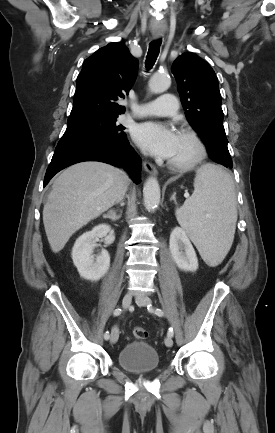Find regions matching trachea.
Masks as SVG:
<instances>
[{"label": "trachea", "mask_w": 275, "mask_h": 433, "mask_svg": "<svg viewBox=\"0 0 275 433\" xmlns=\"http://www.w3.org/2000/svg\"><path fill=\"white\" fill-rule=\"evenodd\" d=\"M161 40L152 41L149 44V50L146 56V68L151 69L157 60L160 51Z\"/></svg>", "instance_id": "1"}]
</instances>
